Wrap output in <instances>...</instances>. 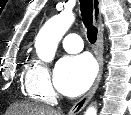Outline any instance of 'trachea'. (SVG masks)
Returning <instances> with one entry per match:
<instances>
[{
	"mask_svg": "<svg viewBox=\"0 0 131 115\" xmlns=\"http://www.w3.org/2000/svg\"><path fill=\"white\" fill-rule=\"evenodd\" d=\"M80 10L83 23L87 28V37L90 43H95L97 40V28L93 25V4L92 0H80Z\"/></svg>",
	"mask_w": 131,
	"mask_h": 115,
	"instance_id": "3493384b",
	"label": "trachea"
}]
</instances>
